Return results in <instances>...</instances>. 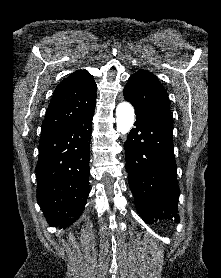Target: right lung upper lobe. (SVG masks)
<instances>
[{
    "mask_svg": "<svg viewBox=\"0 0 221 278\" xmlns=\"http://www.w3.org/2000/svg\"><path fill=\"white\" fill-rule=\"evenodd\" d=\"M96 83L86 70L71 73L55 89L42 124L40 142L91 113Z\"/></svg>",
    "mask_w": 221,
    "mask_h": 278,
    "instance_id": "right-lung-upper-lobe-1",
    "label": "right lung upper lobe"
}]
</instances>
